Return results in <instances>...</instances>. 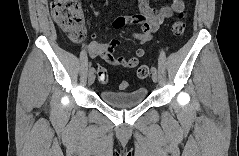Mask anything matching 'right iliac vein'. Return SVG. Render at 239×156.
Segmentation results:
<instances>
[{
    "label": "right iliac vein",
    "mask_w": 239,
    "mask_h": 156,
    "mask_svg": "<svg viewBox=\"0 0 239 156\" xmlns=\"http://www.w3.org/2000/svg\"><path fill=\"white\" fill-rule=\"evenodd\" d=\"M94 81H95V74H94V72L93 73H89V75H88V84L92 85L94 83Z\"/></svg>",
    "instance_id": "obj_1"
}]
</instances>
